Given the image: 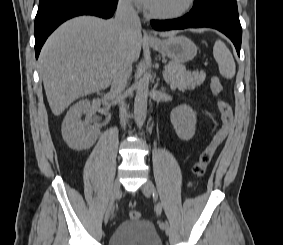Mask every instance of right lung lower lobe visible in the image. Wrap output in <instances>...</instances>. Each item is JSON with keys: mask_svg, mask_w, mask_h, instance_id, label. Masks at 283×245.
<instances>
[{"mask_svg": "<svg viewBox=\"0 0 283 245\" xmlns=\"http://www.w3.org/2000/svg\"><path fill=\"white\" fill-rule=\"evenodd\" d=\"M118 0H40L35 17V56L47 37L64 21L78 15L110 18Z\"/></svg>", "mask_w": 283, "mask_h": 245, "instance_id": "right-lung-lower-lobe-1", "label": "right lung lower lobe"}]
</instances>
